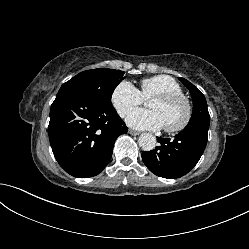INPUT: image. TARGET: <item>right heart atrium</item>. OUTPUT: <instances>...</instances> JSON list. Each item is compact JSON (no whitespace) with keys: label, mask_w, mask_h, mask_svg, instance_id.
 <instances>
[{"label":"right heart atrium","mask_w":249,"mask_h":249,"mask_svg":"<svg viewBox=\"0 0 249 249\" xmlns=\"http://www.w3.org/2000/svg\"><path fill=\"white\" fill-rule=\"evenodd\" d=\"M110 99L114 109L121 117L126 116L133 107L144 102L139 90L125 80L115 86Z\"/></svg>","instance_id":"obj_1"}]
</instances>
